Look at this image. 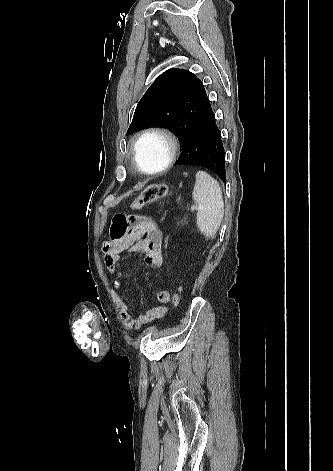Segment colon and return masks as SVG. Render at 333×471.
Segmentation results:
<instances>
[{"mask_svg": "<svg viewBox=\"0 0 333 471\" xmlns=\"http://www.w3.org/2000/svg\"><path fill=\"white\" fill-rule=\"evenodd\" d=\"M170 189L167 184L159 183L152 184L146 187L140 195L132 202L131 209L138 210L141 209L159 199L165 198L169 195ZM172 303L177 307L180 303V294L176 290L172 296Z\"/></svg>", "mask_w": 333, "mask_h": 471, "instance_id": "5ec220e1", "label": "colon"}]
</instances>
